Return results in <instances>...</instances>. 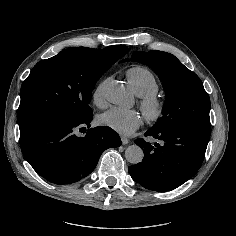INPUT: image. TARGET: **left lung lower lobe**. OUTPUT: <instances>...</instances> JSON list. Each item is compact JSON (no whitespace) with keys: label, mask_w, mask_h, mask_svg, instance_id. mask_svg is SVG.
I'll list each match as a JSON object with an SVG mask.
<instances>
[{"label":"left lung lower lobe","mask_w":236,"mask_h":236,"mask_svg":"<svg viewBox=\"0 0 236 236\" xmlns=\"http://www.w3.org/2000/svg\"><path fill=\"white\" fill-rule=\"evenodd\" d=\"M146 137L160 140L153 144L138 138L142 162L129 167L133 180L146 189L170 191L192 178L201 167L210 138V129L193 126L149 129Z\"/></svg>","instance_id":"1"}]
</instances>
